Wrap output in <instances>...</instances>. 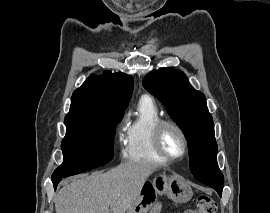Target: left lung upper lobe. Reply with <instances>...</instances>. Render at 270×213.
<instances>
[{
	"label": "left lung upper lobe",
	"mask_w": 270,
	"mask_h": 213,
	"mask_svg": "<svg viewBox=\"0 0 270 213\" xmlns=\"http://www.w3.org/2000/svg\"><path fill=\"white\" fill-rule=\"evenodd\" d=\"M143 86L163 103L186 133L193 176L221 194L224 177L217 164L214 125L204 94L190 85L183 72L173 68L150 72Z\"/></svg>",
	"instance_id": "1"
}]
</instances>
